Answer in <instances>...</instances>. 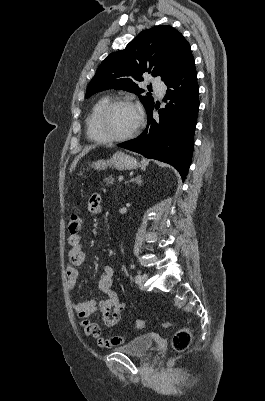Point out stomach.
Segmentation results:
<instances>
[{
	"mask_svg": "<svg viewBox=\"0 0 265 401\" xmlns=\"http://www.w3.org/2000/svg\"><path fill=\"white\" fill-rule=\"evenodd\" d=\"M91 166L95 168V170H105L108 166H114L117 170H133V168L139 166V162L134 156H129V154L117 150L108 160L100 158V160H95Z\"/></svg>",
	"mask_w": 265,
	"mask_h": 401,
	"instance_id": "0dacf381",
	"label": "stomach"
}]
</instances>
